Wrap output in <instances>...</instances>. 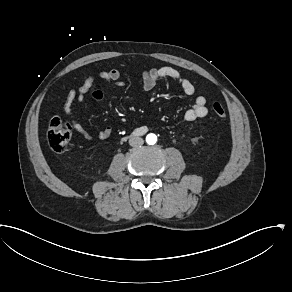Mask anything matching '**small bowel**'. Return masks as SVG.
Listing matches in <instances>:
<instances>
[{"mask_svg":"<svg viewBox=\"0 0 292 292\" xmlns=\"http://www.w3.org/2000/svg\"><path fill=\"white\" fill-rule=\"evenodd\" d=\"M99 78L112 83L115 87L120 88L124 83L120 80L121 71L118 68H112L108 70H102L98 73H88L83 76L81 86L75 90L70 89L63 102V112L69 118V123L72 129L81 137L87 140H92L93 135L84 127L82 123L73 118L74 104L83 99L86 95L94 100H101L104 94L101 90L94 89L92 86L94 81ZM161 79H172L176 81L181 87L184 94L187 96H193L195 94V85L191 80L184 77L177 69L170 66L152 67L144 71L142 74L143 88L145 91H151L156 86V83ZM206 99L202 95H198L194 98L193 105L189 108L184 118L186 121H194L199 118H203L207 115ZM112 135V128L110 126L98 132V138L101 140H107Z\"/></svg>","mask_w":292,"mask_h":292,"instance_id":"1","label":"small bowel"}]
</instances>
